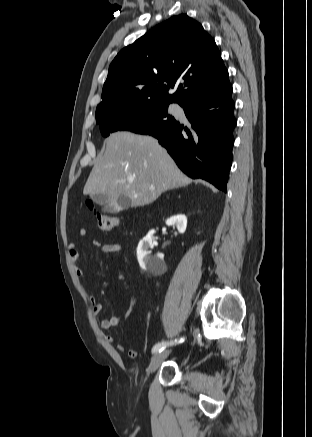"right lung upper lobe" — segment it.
Instances as JSON below:
<instances>
[{
  "label": "right lung upper lobe",
  "instance_id": "right-lung-upper-lobe-1",
  "mask_svg": "<svg viewBox=\"0 0 312 437\" xmlns=\"http://www.w3.org/2000/svg\"><path fill=\"white\" fill-rule=\"evenodd\" d=\"M227 74L214 39L202 25L186 14L173 16L114 58L96 120L128 105H181L220 83ZM175 86L177 91L169 94Z\"/></svg>",
  "mask_w": 312,
  "mask_h": 437
}]
</instances>
